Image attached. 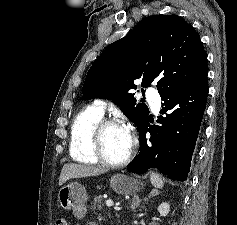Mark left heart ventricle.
Masks as SVG:
<instances>
[{"label":"left heart ventricle","instance_id":"b2bd125f","mask_svg":"<svg viewBox=\"0 0 237 225\" xmlns=\"http://www.w3.org/2000/svg\"><path fill=\"white\" fill-rule=\"evenodd\" d=\"M131 147L129 132L123 127H109L103 134V150L106 157L114 162L126 157Z\"/></svg>","mask_w":237,"mask_h":225}]
</instances>
